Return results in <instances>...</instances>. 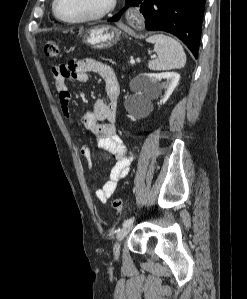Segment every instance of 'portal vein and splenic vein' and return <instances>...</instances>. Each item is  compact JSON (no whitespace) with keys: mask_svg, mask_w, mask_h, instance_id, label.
I'll list each match as a JSON object with an SVG mask.
<instances>
[{"mask_svg":"<svg viewBox=\"0 0 247 299\" xmlns=\"http://www.w3.org/2000/svg\"><path fill=\"white\" fill-rule=\"evenodd\" d=\"M131 64H135V60L133 58L130 59Z\"/></svg>","mask_w":247,"mask_h":299,"instance_id":"portal-vein-and-splenic-vein-1","label":"portal vein and splenic vein"}]
</instances>
